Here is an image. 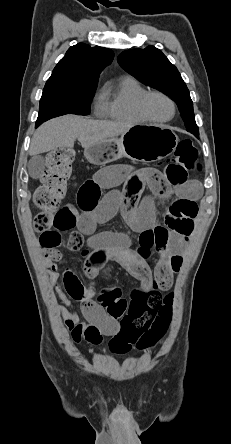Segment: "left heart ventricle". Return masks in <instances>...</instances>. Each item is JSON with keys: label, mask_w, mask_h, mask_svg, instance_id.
<instances>
[{"label": "left heart ventricle", "mask_w": 231, "mask_h": 444, "mask_svg": "<svg viewBox=\"0 0 231 444\" xmlns=\"http://www.w3.org/2000/svg\"><path fill=\"white\" fill-rule=\"evenodd\" d=\"M146 106L150 115L158 119H167L172 114L170 102L161 96H151Z\"/></svg>", "instance_id": "b2bd125f"}]
</instances>
